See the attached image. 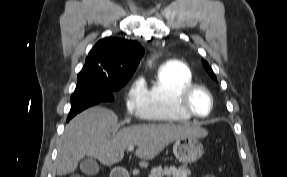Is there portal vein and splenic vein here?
I'll use <instances>...</instances> for the list:
<instances>
[{"label": "portal vein and splenic vein", "instance_id": "1", "mask_svg": "<svg viewBox=\"0 0 287 177\" xmlns=\"http://www.w3.org/2000/svg\"><path fill=\"white\" fill-rule=\"evenodd\" d=\"M128 150H129V151H133V150H134V146H129V147H128Z\"/></svg>", "mask_w": 287, "mask_h": 177}]
</instances>
